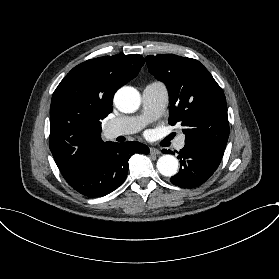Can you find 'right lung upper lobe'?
I'll return each mask as SVG.
<instances>
[{"label":"right lung upper lobe","instance_id":"1","mask_svg":"<svg viewBox=\"0 0 279 279\" xmlns=\"http://www.w3.org/2000/svg\"><path fill=\"white\" fill-rule=\"evenodd\" d=\"M141 55L95 58L74 67L53 93L49 146L65 178L81 172L108 142L100 136L101 120L112 111L118 88L135 78Z\"/></svg>","mask_w":279,"mask_h":279}]
</instances>
